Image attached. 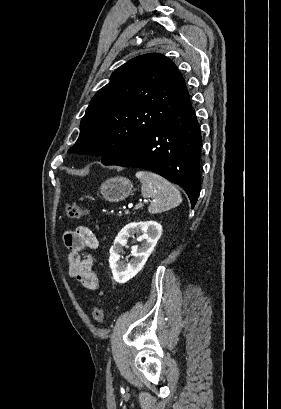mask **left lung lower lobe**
I'll return each instance as SVG.
<instances>
[{
  "label": "left lung lower lobe",
  "instance_id": "1",
  "mask_svg": "<svg viewBox=\"0 0 281 409\" xmlns=\"http://www.w3.org/2000/svg\"><path fill=\"white\" fill-rule=\"evenodd\" d=\"M202 138L190 99L106 165L139 167L180 185L194 208L201 187Z\"/></svg>",
  "mask_w": 281,
  "mask_h": 409
}]
</instances>
